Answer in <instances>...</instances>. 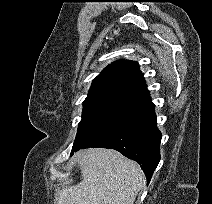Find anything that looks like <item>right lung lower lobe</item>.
Returning <instances> with one entry per match:
<instances>
[{
  "instance_id": "obj_1",
  "label": "right lung lower lobe",
  "mask_w": 212,
  "mask_h": 204,
  "mask_svg": "<svg viewBox=\"0 0 212 204\" xmlns=\"http://www.w3.org/2000/svg\"><path fill=\"white\" fill-rule=\"evenodd\" d=\"M160 142L161 133L156 127L154 104L150 102L124 128L95 145L83 148L102 147L119 151L140 164L149 183L160 161Z\"/></svg>"
}]
</instances>
